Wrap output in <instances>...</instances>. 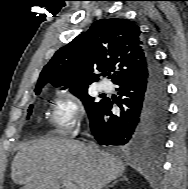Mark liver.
I'll list each match as a JSON object with an SVG mask.
<instances>
[{"mask_svg": "<svg viewBox=\"0 0 188 189\" xmlns=\"http://www.w3.org/2000/svg\"><path fill=\"white\" fill-rule=\"evenodd\" d=\"M125 164L113 154L92 153L84 143L41 138L23 144L11 166V178L21 189H60L63 181L78 189H102L121 176Z\"/></svg>", "mask_w": 188, "mask_h": 189, "instance_id": "liver-1", "label": "liver"}]
</instances>
